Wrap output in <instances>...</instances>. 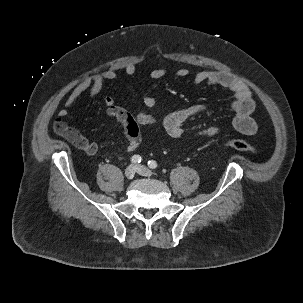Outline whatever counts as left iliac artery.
I'll return each instance as SVG.
<instances>
[{
	"instance_id": "obj_1",
	"label": "left iliac artery",
	"mask_w": 303,
	"mask_h": 303,
	"mask_svg": "<svg viewBox=\"0 0 303 303\" xmlns=\"http://www.w3.org/2000/svg\"><path fill=\"white\" fill-rule=\"evenodd\" d=\"M148 167L151 169H156L157 168V162L154 160L148 161Z\"/></svg>"
}]
</instances>
